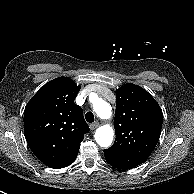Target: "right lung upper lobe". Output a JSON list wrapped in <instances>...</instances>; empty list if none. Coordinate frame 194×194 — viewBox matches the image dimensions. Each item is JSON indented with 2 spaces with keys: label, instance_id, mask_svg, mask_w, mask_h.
<instances>
[{
  "label": "right lung upper lobe",
  "instance_id": "1",
  "mask_svg": "<svg viewBox=\"0 0 194 194\" xmlns=\"http://www.w3.org/2000/svg\"><path fill=\"white\" fill-rule=\"evenodd\" d=\"M79 90L68 77L53 79L24 110L26 141L34 155L53 169L75 161L83 135L89 132L82 108L74 103Z\"/></svg>",
  "mask_w": 194,
  "mask_h": 194
}]
</instances>
